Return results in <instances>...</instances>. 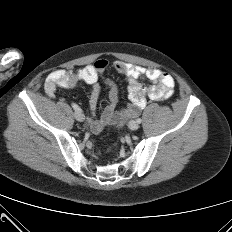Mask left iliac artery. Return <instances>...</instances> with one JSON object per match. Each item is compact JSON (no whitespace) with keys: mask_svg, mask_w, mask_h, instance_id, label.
I'll list each match as a JSON object with an SVG mask.
<instances>
[{"mask_svg":"<svg viewBox=\"0 0 232 232\" xmlns=\"http://www.w3.org/2000/svg\"><path fill=\"white\" fill-rule=\"evenodd\" d=\"M136 121H137V123L140 124V123L142 122V119H141V118H138Z\"/></svg>","mask_w":232,"mask_h":232,"instance_id":"44dca946","label":"left iliac artery"}]
</instances>
